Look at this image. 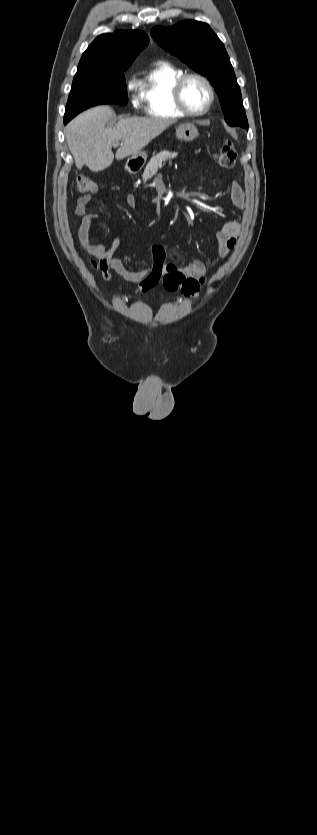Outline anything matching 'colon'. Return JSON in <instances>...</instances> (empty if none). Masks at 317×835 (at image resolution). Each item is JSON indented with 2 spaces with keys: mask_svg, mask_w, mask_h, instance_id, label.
Listing matches in <instances>:
<instances>
[{
  "mask_svg": "<svg viewBox=\"0 0 317 835\" xmlns=\"http://www.w3.org/2000/svg\"><path fill=\"white\" fill-rule=\"evenodd\" d=\"M237 153L231 141L225 142L215 154V159L221 167L229 168L234 166ZM76 191L81 194H90L97 191V184L89 176H79L76 180ZM160 281L168 291H180L188 298H196L200 292V283L196 279L187 277L182 270L173 263L165 266V271Z\"/></svg>",
  "mask_w": 317,
  "mask_h": 835,
  "instance_id": "1",
  "label": "colon"
}]
</instances>
